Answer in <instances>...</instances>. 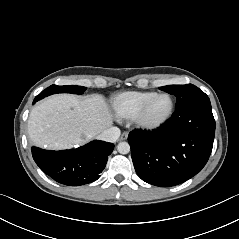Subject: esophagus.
<instances>
[{"instance_id": "1", "label": "esophagus", "mask_w": 239, "mask_h": 239, "mask_svg": "<svg viewBox=\"0 0 239 239\" xmlns=\"http://www.w3.org/2000/svg\"><path fill=\"white\" fill-rule=\"evenodd\" d=\"M128 137V132H123L121 137H120V140H126Z\"/></svg>"}]
</instances>
